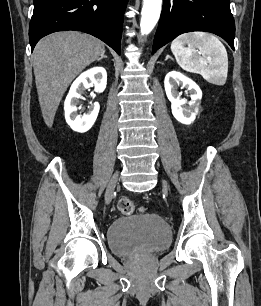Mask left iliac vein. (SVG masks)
<instances>
[{
	"label": "left iliac vein",
	"mask_w": 261,
	"mask_h": 306,
	"mask_svg": "<svg viewBox=\"0 0 261 306\" xmlns=\"http://www.w3.org/2000/svg\"><path fill=\"white\" fill-rule=\"evenodd\" d=\"M163 187H164V189H168V185H167V183L165 182V181H163Z\"/></svg>",
	"instance_id": "4c4485c4"
}]
</instances>
